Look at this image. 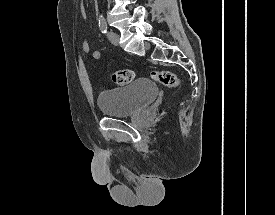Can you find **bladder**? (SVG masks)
<instances>
[{
  "label": "bladder",
  "instance_id": "bladder-1",
  "mask_svg": "<svg viewBox=\"0 0 275 215\" xmlns=\"http://www.w3.org/2000/svg\"><path fill=\"white\" fill-rule=\"evenodd\" d=\"M158 92V87L150 79L138 78L121 88L101 94L97 102L102 115L128 118L148 106Z\"/></svg>",
  "mask_w": 275,
  "mask_h": 215
}]
</instances>
